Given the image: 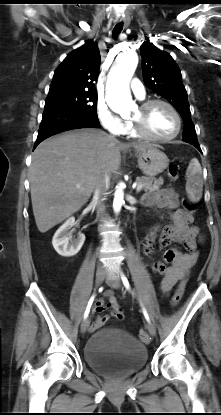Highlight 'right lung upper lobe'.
I'll return each instance as SVG.
<instances>
[{
  "label": "right lung upper lobe",
  "instance_id": "obj_1",
  "mask_svg": "<svg viewBox=\"0 0 221 415\" xmlns=\"http://www.w3.org/2000/svg\"><path fill=\"white\" fill-rule=\"evenodd\" d=\"M100 61L97 44L86 41L83 46L69 53L58 66L49 93L65 90L96 91Z\"/></svg>",
  "mask_w": 221,
  "mask_h": 415
}]
</instances>
